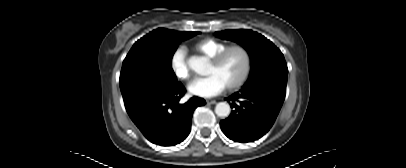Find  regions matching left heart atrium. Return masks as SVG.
Here are the masks:
<instances>
[{
    "label": "left heart atrium",
    "instance_id": "obj_1",
    "mask_svg": "<svg viewBox=\"0 0 406 168\" xmlns=\"http://www.w3.org/2000/svg\"><path fill=\"white\" fill-rule=\"evenodd\" d=\"M225 85L215 75H208L204 78L193 80L188 85L190 94L202 98H209L220 94L225 89Z\"/></svg>",
    "mask_w": 406,
    "mask_h": 168
}]
</instances>
